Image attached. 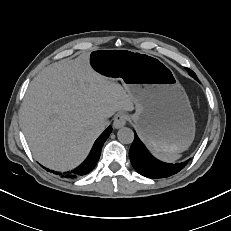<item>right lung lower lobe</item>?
<instances>
[{"label":"right lung lower lobe","instance_id":"obj_1","mask_svg":"<svg viewBox=\"0 0 231 231\" xmlns=\"http://www.w3.org/2000/svg\"><path fill=\"white\" fill-rule=\"evenodd\" d=\"M111 131H112V127L109 126L100 135V137L95 141L94 146H93L89 156L83 162V164H81L78 168H76V169H74L68 173H63V174L55 172V171H50L49 169H46V170L53 172L54 174H59L62 177L71 178V179L78 178V177H81L83 175L88 174L89 172H91L95 168V166L99 160L100 154H101L102 146H103L104 142L106 141V139L109 137Z\"/></svg>","mask_w":231,"mask_h":231}]
</instances>
